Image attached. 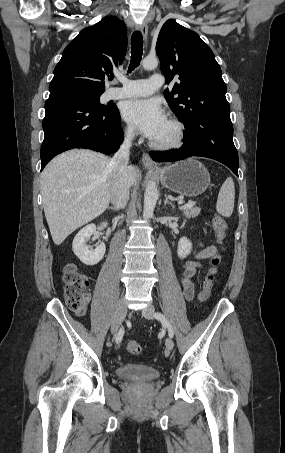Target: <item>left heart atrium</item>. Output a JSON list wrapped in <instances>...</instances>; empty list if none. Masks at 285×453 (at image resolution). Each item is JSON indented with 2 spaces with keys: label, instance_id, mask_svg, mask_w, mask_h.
Returning a JSON list of instances; mask_svg holds the SVG:
<instances>
[{
  "label": "left heart atrium",
  "instance_id": "39dd6f15",
  "mask_svg": "<svg viewBox=\"0 0 285 453\" xmlns=\"http://www.w3.org/2000/svg\"><path fill=\"white\" fill-rule=\"evenodd\" d=\"M123 118L149 139H154L166 122L165 113L154 99H133L125 102Z\"/></svg>",
  "mask_w": 285,
  "mask_h": 453
}]
</instances>
